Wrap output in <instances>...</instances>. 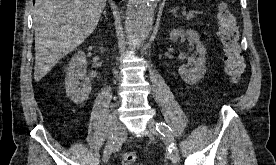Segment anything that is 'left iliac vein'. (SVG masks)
Listing matches in <instances>:
<instances>
[{"label": "left iliac vein", "mask_w": 276, "mask_h": 165, "mask_svg": "<svg viewBox=\"0 0 276 165\" xmlns=\"http://www.w3.org/2000/svg\"><path fill=\"white\" fill-rule=\"evenodd\" d=\"M147 128L149 131H151L153 134L158 135V130L156 129V122L153 119H150L147 123ZM163 140L167 146H169L170 149V158L174 165H177L179 163L180 157H179V151L174 143V137L171 135L169 138H164Z\"/></svg>", "instance_id": "4c4485c4"}]
</instances>
